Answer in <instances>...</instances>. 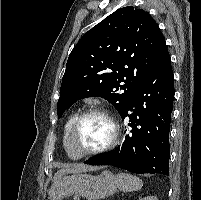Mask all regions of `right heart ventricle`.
Wrapping results in <instances>:
<instances>
[{"mask_svg": "<svg viewBox=\"0 0 201 200\" xmlns=\"http://www.w3.org/2000/svg\"><path fill=\"white\" fill-rule=\"evenodd\" d=\"M76 118V115H72L67 122L65 123L64 129H63V134H62V146L63 149L65 151V153L70 157L69 152L67 150V146H66V136H67V132L72 124V122L74 121V119Z\"/></svg>", "mask_w": 201, "mask_h": 200, "instance_id": "obj_1", "label": "right heart ventricle"}]
</instances>
